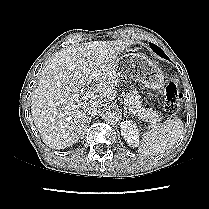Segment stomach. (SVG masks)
Masks as SVG:
<instances>
[{
	"label": "stomach",
	"instance_id": "1",
	"mask_svg": "<svg viewBox=\"0 0 209 209\" xmlns=\"http://www.w3.org/2000/svg\"><path fill=\"white\" fill-rule=\"evenodd\" d=\"M119 72L127 80L139 81L154 90L164 86L165 77L160 68L141 53H130L119 59Z\"/></svg>",
	"mask_w": 209,
	"mask_h": 209
}]
</instances>
